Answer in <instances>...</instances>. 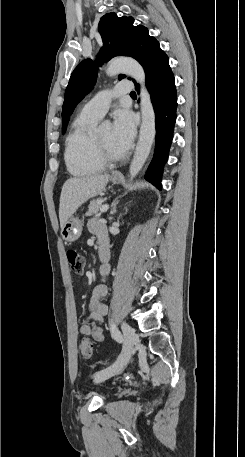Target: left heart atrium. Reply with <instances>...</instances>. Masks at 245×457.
<instances>
[{
    "label": "left heart atrium",
    "mask_w": 245,
    "mask_h": 457,
    "mask_svg": "<svg viewBox=\"0 0 245 457\" xmlns=\"http://www.w3.org/2000/svg\"><path fill=\"white\" fill-rule=\"evenodd\" d=\"M135 134V124L132 114L124 109H120L114 114L112 127V140L114 144L128 150L132 144Z\"/></svg>",
    "instance_id": "39dd6f15"
}]
</instances>
